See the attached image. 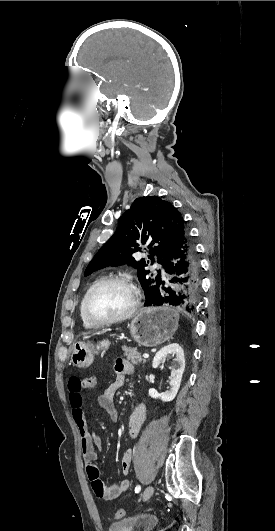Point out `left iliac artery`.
<instances>
[{
    "instance_id": "44dca946",
    "label": "left iliac artery",
    "mask_w": 275,
    "mask_h": 531,
    "mask_svg": "<svg viewBox=\"0 0 275 531\" xmlns=\"http://www.w3.org/2000/svg\"><path fill=\"white\" fill-rule=\"evenodd\" d=\"M140 490H141V486H140V485H137V486L135 487V493H139Z\"/></svg>"
}]
</instances>
